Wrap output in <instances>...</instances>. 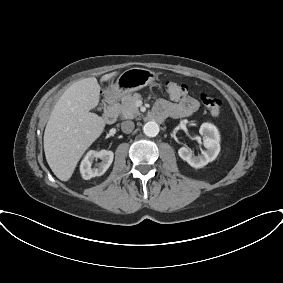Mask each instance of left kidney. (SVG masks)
Listing matches in <instances>:
<instances>
[{
	"label": "left kidney",
	"instance_id": "obj_1",
	"mask_svg": "<svg viewBox=\"0 0 283 283\" xmlns=\"http://www.w3.org/2000/svg\"><path fill=\"white\" fill-rule=\"evenodd\" d=\"M199 132L203 136V145L207 149L202 151L201 156H195L188 147H181L178 150L180 158L193 168L204 167L214 161L220 152V134L215 125L203 123Z\"/></svg>",
	"mask_w": 283,
	"mask_h": 283
}]
</instances>
